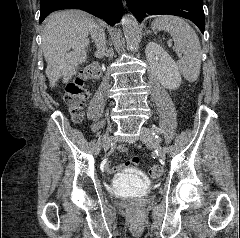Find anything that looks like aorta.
Here are the masks:
<instances>
[{
  "instance_id": "obj_1",
  "label": "aorta",
  "mask_w": 240,
  "mask_h": 238,
  "mask_svg": "<svg viewBox=\"0 0 240 238\" xmlns=\"http://www.w3.org/2000/svg\"><path fill=\"white\" fill-rule=\"evenodd\" d=\"M121 24L127 46L130 50H133L138 46L140 41L138 22L132 14H126L122 17Z\"/></svg>"
}]
</instances>
